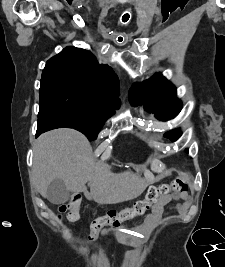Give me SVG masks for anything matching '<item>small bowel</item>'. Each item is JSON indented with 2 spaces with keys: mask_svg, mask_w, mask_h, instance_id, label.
I'll use <instances>...</instances> for the list:
<instances>
[{
  "mask_svg": "<svg viewBox=\"0 0 225 267\" xmlns=\"http://www.w3.org/2000/svg\"><path fill=\"white\" fill-rule=\"evenodd\" d=\"M172 200L176 201V204L171 207V210H173L177 213L185 212L191 206V203H192V197L187 192L176 193V194H173L171 196H167V197L161 199L160 201H158L154 205V207L152 209V214L148 218L149 221L150 222H156L158 220V218L161 216V214L163 213L164 207ZM90 237H91V240L95 241L98 239L99 235H96V234L91 232ZM131 255L132 254L125 255L123 259H127Z\"/></svg>",
  "mask_w": 225,
  "mask_h": 267,
  "instance_id": "c3829d8e",
  "label": "small bowel"
}]
</instances>
